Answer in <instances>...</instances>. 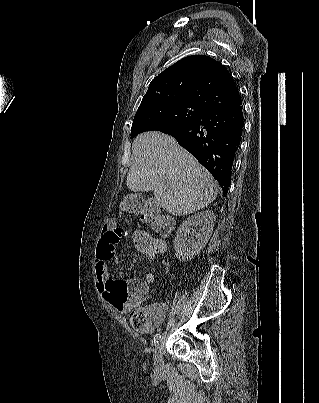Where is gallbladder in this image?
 Wrapping results in <instances>:
<instances>
[{"instance_id": "gallbladder-1", "label": "gallbladder", "mask_w": 319, "mask_h": 403, "mask_svg": "<svg viewBox=\"0 0 319 403\" xmlns=\"http://www.w3.org/2000/svg\"><path fill=\"white\" fill-rule=\"evenodd\" d=\"M153 203L155 205V211L158 213L160 211V207L156 204V202L153 199L147 200L145 202V204L143 205V210L148 212Z\"/></svg>"}]
</instances>
